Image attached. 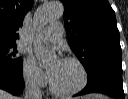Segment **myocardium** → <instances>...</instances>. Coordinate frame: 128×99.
<instances>
[{"label":"myocardium","instance_id":"myocardium-1","mask_svg":"<svg viewBox=\"0 0 128 99\" xmlns=\"http://www.w3.org/2000/svg\"><path fill=\"white\" fill-rule=\"evenodd\" d=\"M61 61H67V62L75 63L81 70L82 81L74 89H71V90H60L54 85V83H53V81H52V79L50 77L49 78V84H50L51 91L54 94L59 95V96H63V97L76 95L86 87V85L88 83V72H87L84 64L79 59H77L75 57H64V58L61 59Z\"/></svg>","mask_w":128,"mask_h":99}]
</instances>
